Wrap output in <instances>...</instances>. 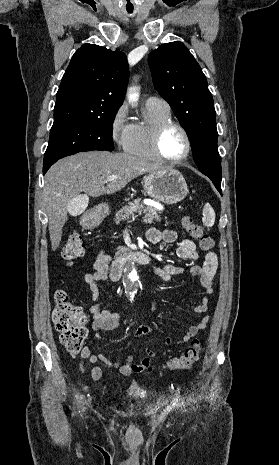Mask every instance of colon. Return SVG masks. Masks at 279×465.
I'll return each instance as SVG.
<instances>
[{"label":"colon","instance_id":"colon-1","mask_svg":"<svg viewBox=\"0 0 279 465\" xmlns=\"http://www.w3.org/2000/svg\"><path fill=\"white\" fill-rule=\"evenodd\" d=\"M182 224L190 235L198 240L201 249L209 250L213 247V240L204 233L202 227L189 216H184ZM85 244L78 234H71L62 248L63 259L72 264L82 257ZM55 307L52 313V322L60 333V341L71 354L81 351L87 336L85 326L86 315L83 309L69 301L66 292L59 290L54 296ZM203 347L198 339L194 340L181 356L171 359L167 366L172 370H186L191 368L200 358Z\"/></svg>","mask_w":279,"mask_h":465}]
</instances>
